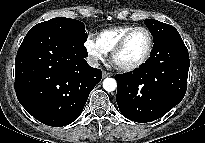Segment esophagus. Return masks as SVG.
<instances>
[{
    "instance_id": "obj_1",
    "label": "esophagus",
    "mask_w": 205,
    "mask_h": 143,
    "mask_svg": "<svg viewBox=\"0 0 205 143\" xmlns=\"http://www.w3.org/2000/svg\"><path fill=\"white\" fill-rule=\"evenodd\" d=\"M102 76H103V78L110 77V76H111V73H109V72H107V71H103V72H102Z\"/></svg>"
}]
</instances>
